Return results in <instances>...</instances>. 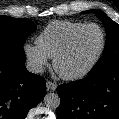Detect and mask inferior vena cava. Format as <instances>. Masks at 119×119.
Listing matches in <instances>:
<instances>
[{
    "label": "inferior vena cava",
    "instance_id": "602c4592",
    "mask_svg": "<svg viewBox=\"0 0 119 119\" xmlns=\"http://www.w3.org/2000/svg\"><path fill=\"white\" fill-rule=\"evenodd\" d=\"M26 68L29 72L39 74L44 71L43 66L38 62L29 61L26 63Z\"/></svg>",
    "mask_w": 119,
    "mask_h": 119
}]
</instances>
